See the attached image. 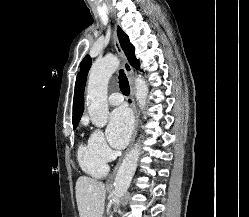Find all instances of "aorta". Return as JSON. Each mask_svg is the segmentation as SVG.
Instances as JSON below:
<instances>
[{"instance_id": "aorta-1", "label": "aorta", "mask_w": 249, "mask_h": 217, "mask_svg": "<svg viewBox=\"0 0 249 217\" xmlns=\"http://www.w3.org/2000/svg\"><path fill=\"white\" fill-rule=\"evenodd\" d=\"M118 66V58L109 56L96 61L90 70L87 87V107L91 122L97 127H104L108 122L107 87L110 77L117 70ZM135 89L139 107L143 109L147 103L148 86L141 76L135 80ZM140 154V145L135 144L119 167L114 182L113 202L116 208L119 207L120 199L130 185Z\"/></svg>"}]
</instances>
